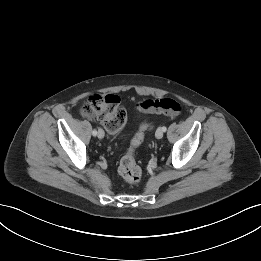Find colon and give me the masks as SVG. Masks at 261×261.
<instances>
[{
	"instance_id": "1",
	"label": "colon",
	"mask_w": 261,
	"mask_h": 261,
	"mask_svg": "<svg viewBox=\"0 0 261 261\" xmlns=\"http://www.w3.org/2000/svg\"><path fill=\"white\" fill-rule=\"evenodd\" d=\"M145 107L152 112L164 113L170 116H177L181 113V105L172 98H161L148 100ZM82 114L89 118H98L102 125L110 133H118L126 123L127 113L116 95H93L82 106ZM146 127L133 137L130 148L121 158L118 172L120 176L130 184L140 181L142 170L135 159V149L143 140V133Z\"/></svg>"
}]
</instances>
